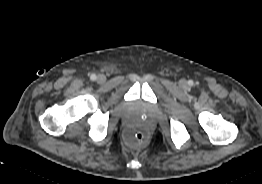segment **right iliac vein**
Returning a JSON list of instances; mask_svg holds the SVG:
<instances>
[{
    "mask_svg": "<svg viewBox=\"0 0 262 184\" xmlns=\"http://www.w3.org/2000/svg\"><path fill=\"white\" fill-rule=\"evenodd\" d=\"M105 80H106L105 75H103V74H99V75H98V77H97L98 83H104Z\"/></svg>",
    "mask_w": 262,
    "mask_h": 184,
    "instance_id": "right-iliac-vein-1",
    "label": "right iliac vein"
}]
</instances>
